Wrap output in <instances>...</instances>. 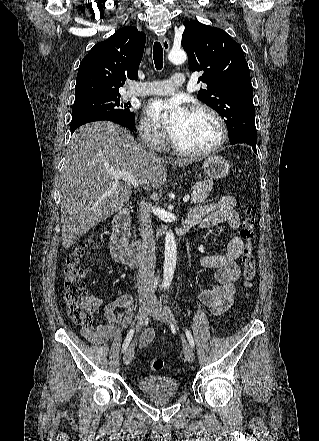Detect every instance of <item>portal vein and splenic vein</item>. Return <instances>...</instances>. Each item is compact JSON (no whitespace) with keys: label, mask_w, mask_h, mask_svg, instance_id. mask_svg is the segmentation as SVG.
Instances as JSON below:
<instances>
[{"label":"portal vein and splenic vein","mask_w":319,"mask_h":441,"mask_svg":"<svg viewBox=\"0 0 319 441\" xmlns=\"http://www.w3.org/2000/svg\"><path fill=\"white\" fill-rule=\"evenodd\" d=\"M109 172H110V173L114 176V178L117 179V180H123V181H125V182H128V183L132 184L134 187H136L137 184H138L136 177H135L132 173H130V172H127V171H119V170H110ZM189 199H190V195H186V196L183 198V202H184V203H185V202H188Z\"/></svg>","instance_id":"obj_1"}]
</instances>
